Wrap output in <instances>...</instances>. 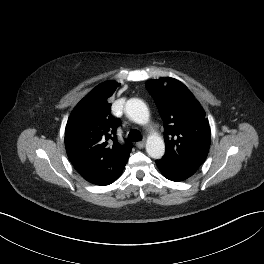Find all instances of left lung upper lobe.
<instances>
[{
	"label": "left lung upper lobe",
	"mask_w": 264,
	"mask_h": 264,
	"mask_svg": "<svg viewBox=\"0 0 264 264\" xmlns=\"http://www.w3.org/2000/svg\"><path fill=\"white\" fill-rule=\"evenodd\" d=\"M164 122L166 146L162 160L198 169L206 160L211 142L208 119L189 89L173 78L146 82Z\"/></svg>",
	"instance_id": "1"
}]
</instances>
